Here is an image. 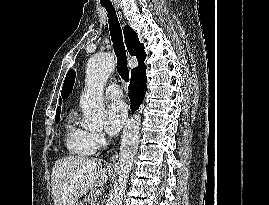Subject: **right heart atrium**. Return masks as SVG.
Here are the masks:
<instances>
[{
    "mask_svg": "<svg viewBox=\"0 0 269 205\" xmlns=\"http://www.w3.org/2000/svg\"><path fill=\"white\" fill-rule=\"evenodd\" d=\"M90 139L95 150L102 149L106 145V137L102 133H91Z\"/></svg>",
    "mask_w": 269,
    "mask_h": 205,
    "instance_id": "1",
    "label": "right heart atrium"
}]
</instances>
